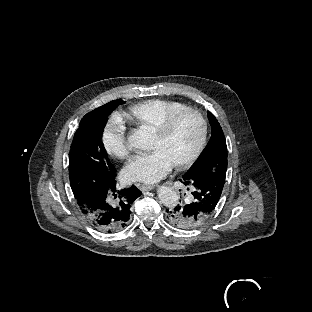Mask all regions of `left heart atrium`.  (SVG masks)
I'll return each instance as SVG.
<instances>
[{
  "mask_svg": "<svg viewBox=\"0 0 312 312\" xmlns=\"http://www.w3.org/2000/svg\"><path fill=\"white\" fill-rule=\"evenodd\" d=\"M172 170L168 156L150 150L145 156L132 161L125 168V177L133 184L156 183L167 177Z\"/></svg>",
  "mask_w": 312,
  "mask_h": 312,
  "instance_id": "39dd6f15",
  "label": "left heart atrium"
}]
</instances>
